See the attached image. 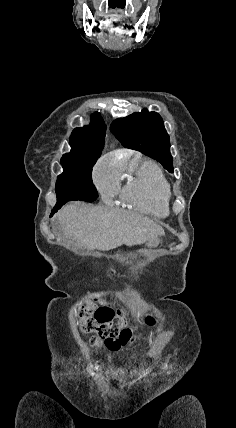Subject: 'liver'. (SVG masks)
I'll return each instance as SVG.
<instances>
[{
	"mask_svg": "<svg viewBox=\"0 0 236 428\" xmlns=\"http://www.w3.org/2000/svg\"><path fill=\"white\" fill-rule=\"evenodd\" d=\"M66 238L77 240L91 250H114L121 244L138 246L164 236L162 226L135 212H117L113 208H91L70 202L57 214Z\"/></svg>",
	"mask_w": 236,
	"mask_h": 428,
	"instance_id": "obj_1",
	"label": "liver"
}]
</instances>
